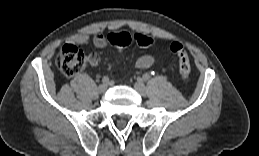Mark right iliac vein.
I'll use <instances>...</instances> for the list:
<instances>
[{"label":"right iliac vein","instance_id":"right-iliac-vein-1","mask_svg":"<svg viewBox=\"0 0 259 156\" xmlns=\"http://www.w3.org/2000/svg\"><path fill=\"white\" fill-rule=\"evenodd\" d=\"M108 88V85L106 83H102L98 86V92L99 93H104Z\"/></svg>","mask_w":259,"mask_h":156}]
</instances>
